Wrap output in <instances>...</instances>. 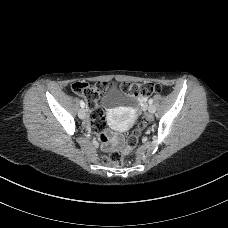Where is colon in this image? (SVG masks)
<instances>
[{"label": "colon", "mask_w": 228, "mask_h": 228, "mask_svg": "<svg viewBox=\"0 0 228 228\" xmlns=\"http://www.w3.org/2000/svg\"><path fill=\"white\" fill-rule=\"evenodd\" d=\"M120 88L124 93H127L132 97L140 98H146L152 94L160 93L162 91L161 85L151 82L143 84L123 83ZM106 89L107 84L105 83H99L94 87H90L85 82H76L72 85V90L77 95L82 96L85 99L91 120V129L99 135H101L104 130L105 120L103 109L98 104V101L101 94L106 91ZM146 124L147 120H142L136 131L127 139L125 148L121 152L114 151L109 153L103 157V160L106 163L118 166L121 165L124 161V156L132 154L134 149L137 147L139 138L142 131L146 127Z\"/></svg>", "instance_id": "5ec220e1"}]
</instances>
